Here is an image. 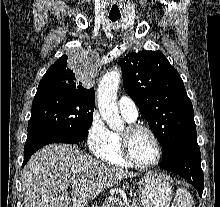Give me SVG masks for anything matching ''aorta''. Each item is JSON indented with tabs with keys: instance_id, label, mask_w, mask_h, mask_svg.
Segmentation results:
<instances>
[{
	"instance_id": "1",
	"label": "aorta",
	"mask_w": 220,
	"mask_h": 207,
	"mask_svg": "<svg viewBox=\"0 0 220 207\" xmlns=\"http://www.w3.org/2000/svg\"><path fill=\"white\" fill-rule=\"evenodd\" d=\"M121 79L118 69L107 72L101 79L97 89L98 109L110 129L118 130L123 127V120L117 106V91Z\"/></svg>"
}]
</instances>
